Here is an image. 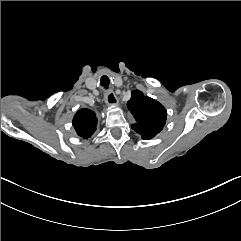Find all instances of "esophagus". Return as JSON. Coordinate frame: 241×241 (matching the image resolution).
Returning a JSON list of instances; mask_svg holds the SVG:
<instances>
[{
	"instance_id": "1",
	"label": "esophagus",
	"mask_w": 241,
	"mask_h": 241,
	"mask_svg": "<svg viewBox=\"0 0 241 241\" xmlns=\"http://www.w3.org/2000/svg\"><path fill=\"white\" fill-rule=\"evenodd\" d=\"M105 103L109 106H115L118 104L117 97L113 91H109L104 96Z\"/></svg>"
}]
</instances>
